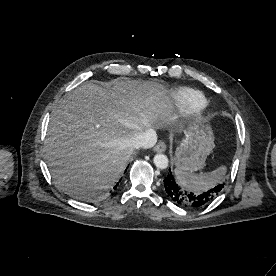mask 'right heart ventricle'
I'll return each mask as SVG.
<instances>
[{
  "instance_id": "e07e8e85",
  "label": "right heart ventricle",
  "mask_w": 276,
  "mask_h": 276,
  "mask_svg": "<svg viewBox=\"0 0 276 276\" xmlns=\"http://www.w3.org/2000/svg\"><path fill=\"white\" fill-rule=\"evenodd\" d=\"M175 99L179 108L186 113L194 112L206 103L205 96L193 89H181L177 92Z\"/></svg>"
}]
</instances>
